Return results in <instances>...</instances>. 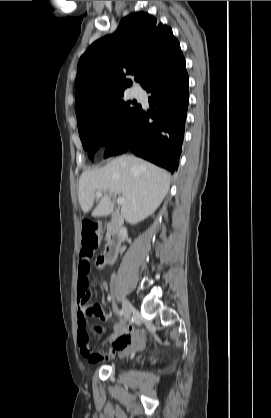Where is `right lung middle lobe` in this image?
Instances as JSON below:
<instances>
[{
	"label": "right lung middle lobe",
	"mask_w": 271,
	"mask_h": 418,
	"mask_svg": "<svg viewBox=\"0 0 271 418\" xmlns=\"http://www.w3.org/2000/svg\"><path fill=\"white\" fill-rule=\"evenodd\" d=\"M140 107L135 101L125 102L121 94L77 116L79 135L89 158L93 159L95 151L103 147L110 136L124 126Z\"/></svg>",
	"instance_id": "obj_1"
}]
</instances>
